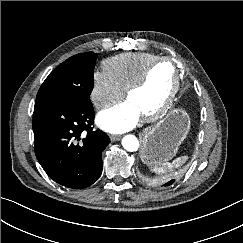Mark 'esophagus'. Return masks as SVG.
<instances>
[{
    "label": "esophagus",
    "instance_id": "esophagus-1",
    "mask_svg": "<svg viewBox=\"0 0 243 243\" xmlns=\"http://www.w3.org/2000/svg\"><path fill=\"white\" fill-rule=\"evenodd\" d=\"M120 136H118V135H110V139H111V141L112 142H115V141H118V140H120Z\"/></svg>",
    "mask_w": 243,
    "mask_h": 243
}]
</instances>
